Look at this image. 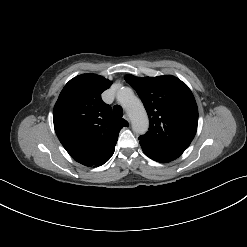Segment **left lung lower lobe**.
<instances>
[{
    "instance_id": "obj_1",
    "label": "left lung lower lobe",
    "mask_w": 247,
    "mask_h": 247,
    "mask_svg": "<svg viewBox=\"0 0 247 247\" xmlns=\"http://www.w3.org/2000/svg\"><path fill=\"white\" fill-rule=\"evenodd\" d=\"M143 152L152 160L160 163H167L177 159L183 152L176 150H168L152 145L139 138Z\"/></svg>"
}]
</instances>
